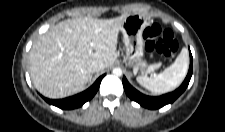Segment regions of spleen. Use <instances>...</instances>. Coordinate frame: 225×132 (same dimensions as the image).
Returning a JSON list of instances; mask_svg holds the SVG:
<instances>
[{
  "instance_id": "obj_1",
  "label": "spleen",
  "mask_w": 225,
  "mask_h": 132,
  "mask_svg": "<svg viewBox=\"0 0 225 132\" xmlns=\"http://www.w3.org/2000/svg\"><path fill=\"white\" fill-rule=\"evenodd\" d=\"M189 65L188 50L183 48L175 62L162 73L154 76H139L137 82L155 94L167 93L177 88L184 80Z\"/></svg>"
}]
</instances>
